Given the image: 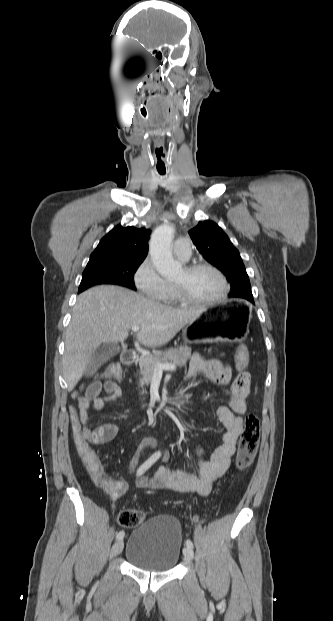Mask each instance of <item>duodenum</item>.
Here are the masks:
<instances>
[{"label":"duodenum","instance_id":"1","mask_svg":"<svg viewBox=\"0 0 333 621\" xmlns=\"http://www.w3.org/2000/svg\"><path fill=\"white\" fill-rule=\"evenodd\" d=\"M137 360V353L133 350L125 351L121 355V361L126 366H132Z\"/></svg>","mask_w":333,"mask_h":621}]
</instances>
